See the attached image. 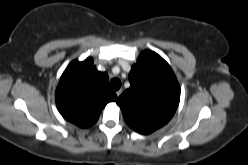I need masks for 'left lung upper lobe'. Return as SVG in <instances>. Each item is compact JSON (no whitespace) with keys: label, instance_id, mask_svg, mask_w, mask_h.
<instances>
[{"label":"left lung upper lobe","instance_id":"left-lung-upper-lobe-1","mask_svg":"<svg viewBox=\"0 0 248 165\" xmlns=\"http://www.w3.org/2000/svg\"><path fill=\"white\" fill-rule=\"evenodd\" d=\"M130 87L117 100L126 123L141 134L164 126L174 115L180 88L170 65L145 50L129 73Z\"/></svg>","mask_w":248,"mask_h":165}]
</instances>
